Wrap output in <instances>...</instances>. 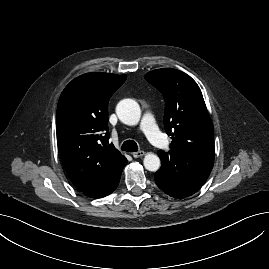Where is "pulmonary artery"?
Instances as JSON below:
<instances>
[{
	"label": "pulmonary artery",
	"mask_w": 269,
	"mask_h": 269,
	"mask_svg": "<svg viewBox=\"0 0 269 269\" xmlns=\"http://www.w3.org/2000/svg\"><path fill=\"white\" fill-rule=\"evenodd\" d=\"M139 128L151 144L158 148L166 146L165 136L157 127L155 119L150 112L144 113Z\"/></svg>",
	"instance_id": "obj_1"
}]
</instances>
